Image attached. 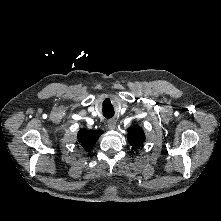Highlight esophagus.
<instances>
[{
	"instance_id": "34e87169",
	"label": "esophagus",
	"mask_w": 221,
	"mask_h": 221,
	"mask_svg": "<svg viewBox=\"0 0 221 221\" xmlns=\"http://www.w3.org/2000/svg\"><path fill=\"white\" fill-rule=\"evenodd\" d=\"M108 128H109L110 130L116 129V121L113 120V119L109 120V121H108Z\"/></svg>"
}]
</instances>
